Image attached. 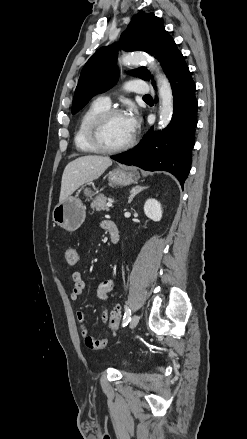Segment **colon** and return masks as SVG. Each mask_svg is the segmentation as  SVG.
Instances as JSON below:
<instances>
[{
	"label": "colon",
	"mask_w": 247,
	"mask_h": 439,
	"mask_svg": "<svg viewBox=\"0 0 247 439\" xmlns=\"http://www.w3.org/2000/svg\"><path fill=\"white\" fill-rule=\"evenodd\" d=\"M65 257L70 265H75L78 262V252L75 248H68ZM120 318L121 310L119 307H116L112 310L109 317V327L112 331H116L119 328Z\"/></svg>",
	"instance_id": "obj_1"
}]
</instances>
